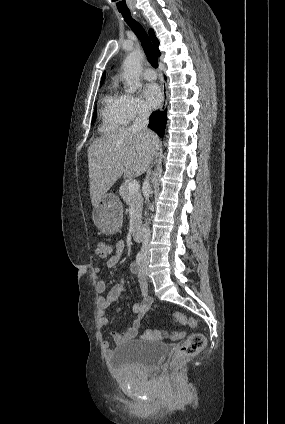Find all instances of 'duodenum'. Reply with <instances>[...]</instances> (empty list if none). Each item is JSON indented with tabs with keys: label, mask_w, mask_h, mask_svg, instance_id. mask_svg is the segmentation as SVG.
I'll return each mask as SVG.
<instances>
[{
	"label": "duodenum",
	"mask_w": 285,
	"mask_h": 424,
	"mask_svg": "<svg viewBox=\"0 0 285 424\" xmlns=\"http://www.w3.org/2000/svg\"><path fill=\"white\" fill-rule=\"evenodd\" d=\"M133 240L140 242L142 240V227L141 225H136L133 231Z\"/></svg>",
	"instance_id": "obj_1"
}]
</instances>
